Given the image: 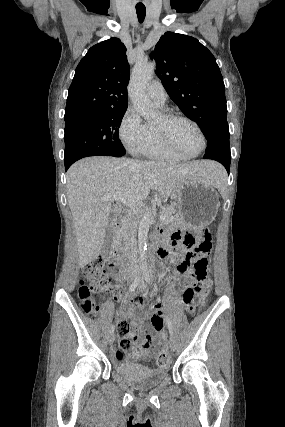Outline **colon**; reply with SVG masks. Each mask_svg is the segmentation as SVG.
<instances>
[{
	"label": "colon",
	"instance_id": "obj_1",
	"mask_svg": "<svg viewBox=\"0 0 285 427\" xmlns=\"http://www.w3.org/2000/svg\"><path fill=\"white\" fill-rule=\"evenodd\" d=\"M183 244L186 248L193 249L196 252L208 254L211 248L210 236L208 234H187L184 237ZM195 271V277L187 276L183 280L185 287L184 301L188 304L204 306L205 299L211 289V281L205 278L206 262L199 260L190 264L183 262L180 266L182 272H189V269ZM117 270L116 262L108 257H100L87 264L79 280V300L82 310L86 314L94 315L99 311L95 296L107 293L110 289V273ZM119 335L117 349L127 357H133L142 351L143 347L135 344L128 336L129 324L125 320L117 321L115 325ZM156 362L164 367L169 363V355L166 352H160L157 355Z\"/></svg>",
	"mask_w": 285,
	"mask_h": 427
}]
</instances>
